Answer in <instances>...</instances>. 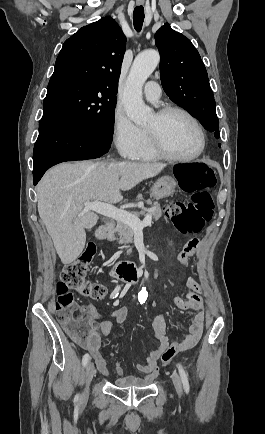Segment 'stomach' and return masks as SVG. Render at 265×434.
Wrapping results in <instances>:
<instances>
[{"label":"stomach","mask_w":265,"mask_h":434,"mask_svg":"<svg viewBox=\"0 0 265 434\" xmlns=\"http://www.w3.org/2000/svg\"><path fill=\"white\" fill-rule=\"evenodd\" d=\"M176 180L172 176H162L155 182L153 188L150 190L151 198L154 200H161V198H169L175 192Z\"/></svg>","instance_id":"stomach-1"}]
</instances>
